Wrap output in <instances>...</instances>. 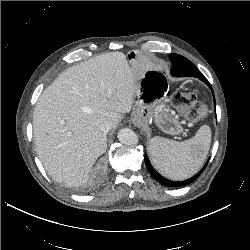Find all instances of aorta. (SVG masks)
<instances>
[{
  "label": "aorta",
  "instance_id": "762f6f07",
  "mask_svg": "<svg viewBox=\"0 0 250 250\" xmlns=\"http://www.w3.org/2000/svg\"><path fill=\"white\" fill-rule=\"evenodd\" d=\"M117 137H118L119 141L125 145H136L138 143L137 134L129 128L121 129L118 132Z\"/></svg>",
  "mask_w": 250,
  "mask_h": 250
}]
</instances>
